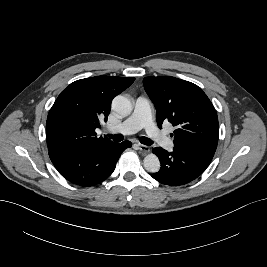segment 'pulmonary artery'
Instances as JSON below:
<instances>
[{
  "instance_id": "obj_1",
  "label": "pulmonary artery",
  "mask_w": 267,
  "mask_h": 267,
  "mask_svg": "<svg viewBox=\"0 0 267 267\" xmlns=\"http://www.w3.org/2000/svg\"><path fill=\"white\" fill-rule=\"evenodd\" d=\"M145 128L147 134L157 144L167 150H171L174 146L173 141L160 131L153 122L152 104L146 97L140 96L135 101L134 111L121 124L110 127L111 133L132 134L138 130Z\"/></svg>"
}]
</instances>
